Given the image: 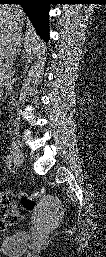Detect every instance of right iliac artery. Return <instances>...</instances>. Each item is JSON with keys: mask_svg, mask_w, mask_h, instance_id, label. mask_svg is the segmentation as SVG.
Instances as JSON below:
<instances>
[{"mask_svg": "<svg viewBox=\"0 0 106 257\" xmlns=\"http://www.w3.org/2000/svg\"><path fill=\"white\" fill-rule=\"evenodd\" d=\"M6 163H7L9 168L12 166L13 159H12V156L10 154H7V156H6Z\"/></svg>", "mask_w": 106, "mask_h": 257, "instance_id": "82829eb1", "label": "right iliac artery"}]
</instances>
